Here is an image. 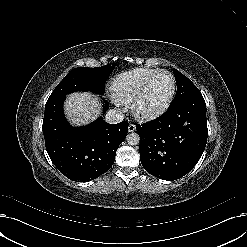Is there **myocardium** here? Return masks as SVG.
I'll return each instance as SVG.
<instances>
[{"mask_svg":"<svg viewBox=\"0 0 247 247\" xmlns=\"http://www.w3.org/2000/svg\"><path fill=\"white\" fill-rule=\"evenodd\" d=\"M159 74H166L171 79L172 88H171V92H170L169 96L161 105H159L157 107H154L151 109L140 108V106H139L140 101H141L142 97L144 96L149 84ZM175 91H176V81H175L173 74L171 72H169L168 70L160 69V70L156 71L154 74H152L144 82V84L142 85L140 90L137 92V94L131 99L130 105H129L130 111L133 114V116L138 120L146 121V120L153 119V118L157 117L158 115L162 114L170 106V104L174 98Z\"/></svg>","mask_w":247,"mask_h":247,"instance_id":"obj_1","label":"myocardium"}]
</instances>
